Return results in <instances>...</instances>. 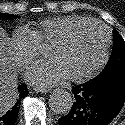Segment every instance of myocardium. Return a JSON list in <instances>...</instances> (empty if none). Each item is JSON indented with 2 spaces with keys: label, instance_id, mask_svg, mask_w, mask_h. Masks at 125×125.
Instances as JSON below:
<instances>
[{
  "label": "myocardium",
  "instance_id": "1",
  "mask_svg": "<svg viewBox=\"0 0 125 125\" xmlns=\"http://www.w3.org/2000/svg\"><path fill=\"white\" fill-rule=\"evenodd\" d=\"M91 24L100 26L101 29L104 31V34H105L104 49H103L100 60L91 70L81 75L70 76V79L74 82H84L86 80H89L93 78L94 76H96L97 74H99V72L104 68V66L106 65L109 59L110 49H111V44H112V33H111L110 28L105 23L97 19L90 18L85 21L72 25L51 43V47L62 45L65 42H67L78 29H80L83 26L91 25Z\"/></svg>",
  "mask_w": 125,
  "mask_h": 125
}]
</instances>
